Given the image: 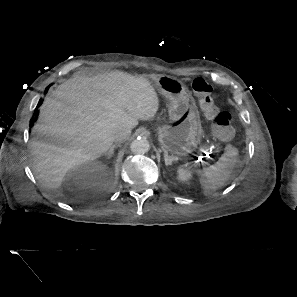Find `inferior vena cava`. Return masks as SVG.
<instances>
[{
  "mask_svg": "<svg viewBox=\"0 0 297 297\" xmlns=\"http://www.w3.org/2000/svg\"><path fill=\"white\" fill-rule=\"evenodd\" d=\"M131 134V129L128 128H119L113 134V140L115 142H124L128 139Z\"/></svg>",
  "mask_w": 297,
  "mask_h": 297,
  "instance_id": "1",
  "label": "inferior vena cava"
}]
</instances>
